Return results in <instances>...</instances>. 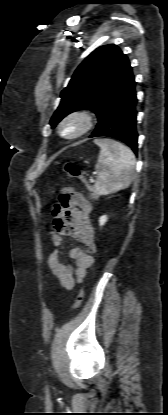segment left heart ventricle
Listing matches in <instances>:
<instances>
[{
	"instance_id": "1",
	"label": "left heart ventricle",
	"mask_w": 168,
	"mask_h": 415,
	"mask_svg": "<svg viewBox=\"0 0 168 415\" xmlns=\"http://www.w3.org/2000/svg\"><path fill=\"white\" fill-rule=\"evenodd\" d=\"M80 128V122L78 120H70L63 126V132L66 135L75 133Z\"/></svg>"
}]
</instances>
